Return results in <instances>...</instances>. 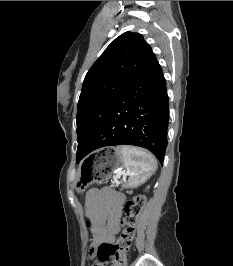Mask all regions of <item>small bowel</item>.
<instances>
[{"instance_id":"c3829d8e","label":"small bowel","mask_w":233,"mask_h":266,"mask_svg":"<svg viewBox=\"0 0 233 266\" xmlns=\"http://www.w3.org/2000/svg\"><path fill=\"white\" fill-rule=\"evenodd\" d=\"M123 196L110 189L93 190L86 199V214L90 220L93 255L99 245L111 243L119 229Z\"/></svg>"}]
</instances>
